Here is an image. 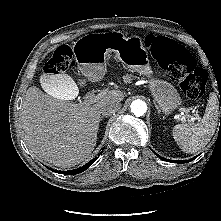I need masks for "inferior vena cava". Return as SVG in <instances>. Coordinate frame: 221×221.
I'll return each mask as SVG.
<instances>
[{"label": "inferior vena cava", "instance_id": "1", "mask_svg": "<svg viewBox=\"0 0 221 221\" xmlns=\"http://www.w3.org/2000/svg\"><path fill=\"white\" fill-rule=\"evenodd\" d=\"M120 108H121V103L119 102L107 103L102 107L101 114L105 117H108L116 113Z\"/></svg>", "mask_w": 221, "mask_h": 221}]
</instances>
